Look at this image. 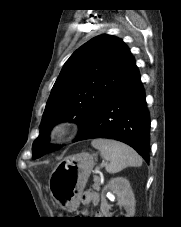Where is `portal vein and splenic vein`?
<instances>
[{
  "label": "portal vein and splenic vein",
  "mask_w": 181,
  "mask_h": 227,
  "mask_svg": "<svg viewBox=\"0 0 181 227\" xmlns=\"http://www.w3.org/2000/svg\"><path fill=\"white\" fill-rule=\"evenodd\" d=\"M102 165L104 166V165H106V164L104 163V164H102ZM95 173H98V170H96V172H95ZM94 180L96 181V180H97V178L95 177V178H94Z\"/></svg>",
  "instance_id": "portal-vein-and-splenic-vein-1"
}]
</instances>
